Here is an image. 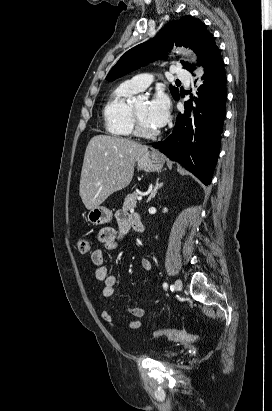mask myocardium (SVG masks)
<instances>
[{"label":"myocardium","mask_w":272,"mask_h":411,"mask_svg":"<svg viewBox=\"0 0 272 411\" xmlns=\"http://www.w3.org/2000/svg\"><path fill=\"white\" fill-rule=\"evenodd\" d=\"M129 114H130V121H131V125H132V132L136 136H139V137H142V138H154V137L159 135V133H160L159 130H157V129L156 130H147L141 125L133 105L130 106Z\"/></svg>","instance_id":"myocardium-1"}]
</instances>
